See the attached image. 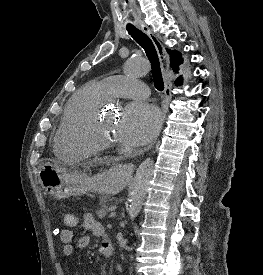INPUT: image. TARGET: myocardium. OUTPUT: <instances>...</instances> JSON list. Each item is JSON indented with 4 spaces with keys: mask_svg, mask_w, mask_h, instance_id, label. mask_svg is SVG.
I'll return each instance as SVG.
<instances>
[{
    "mask_svg": "<svg viewBox=\"0 0 263 275\" xmlns=\"http://www.w3.org/2000/svg\"><path fill=\"white\" fill-rule=\"evenodd\" d=\"M102 108L89 116L77 131L78 141L95 152L107 151L117 147L118 142L105 138L101 133Z\"/></svg>",
    "mask_w": 263,
    "mask_h": 275,
    "instance_id": "myocardium-1",
    "label": "myocardium"
}]
</instances>
